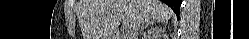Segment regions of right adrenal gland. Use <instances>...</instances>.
<instances>
[{
    "mask_svg": "<svg viewBox=\"0 0 249 39\" xmlns=\"http://www.w3.org/2000/svg\"><path fill=\"white\" fill-rule=\"evenodd\" d=\"M153 21H146L145 22V27H147L148 25H153ZM144 30V27L143 28H141L140 30H139V32H141V31H143ZM137 34H138V32H137ZM143 36H145V33H143Z\"/></svg>",
    "mask_w": 249,
    "mask_h": 39,
    "instance_id": "2a0ac1e0",
    "label": "right adrenal gland"
}]
</instances>
